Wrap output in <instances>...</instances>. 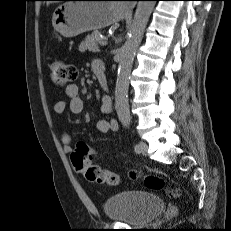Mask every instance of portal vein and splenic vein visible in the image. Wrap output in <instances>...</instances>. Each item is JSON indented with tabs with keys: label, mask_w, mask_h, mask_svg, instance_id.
Instances as JSON below:
<instances>
[{
	"label": "portal vein and splenic vein",
	"mask_w": 231,
	"mask_h": 231,
	"mask_svg": "<svg viewBox=\"0 0 231 231\" xmlns=\"http://www.w3.org/2000/svg\"><path fill=\"white\" fill-rule=\"evenodd\" d=\"M107 43H108V42H107V40L105 39V40L101 41L100 45H101V46H106Z\"/></svg>",
	"instance_id": "1"
}]
</instances>
